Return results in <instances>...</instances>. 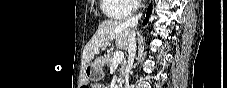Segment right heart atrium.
I'll return each mask as SVG.
<instances>
[{
    "mask_svg": "<svg viewBox=\"0 0 227 88\" xmlns=\"http://www.w3.org/2000/svg\"><path fill=\"white\" fill-rule=\"evenodd\" d=\"M129 3V10L127 15L132 14L134 11H136L138 5H139V1L137 0H128Z\"/></svg>",
    "mask_w": 227,
    "mask_h": 88,
    "instance_id": "1",
    "label": "right heart atrium"
}]
</instances>
